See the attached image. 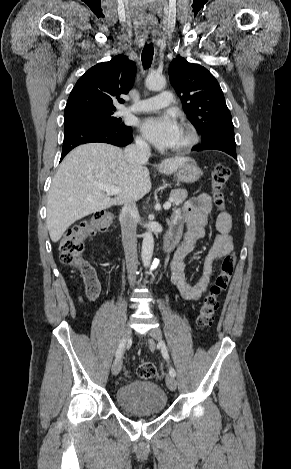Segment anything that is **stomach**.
Returning a JSON list of instances; mask_svg holds the SVG:
<instances>
[{
	"mask_svg": "<svg viewBox=\"0 0 291 469\" xmlns=\"http://www.w3.org/2000/svg\"><path fill=\"white\" fill-rule=\"evenodd\" d=\"M201 175L202 171L194 161L186 162L174 172L177 181L185 183L196 182Z\"/></svg>",
	"mask_w": 291,
	"mask_h": 469,
	"instance_id": "obj_1",
	"label": "stomach"
}]
</instances>
